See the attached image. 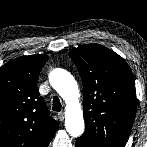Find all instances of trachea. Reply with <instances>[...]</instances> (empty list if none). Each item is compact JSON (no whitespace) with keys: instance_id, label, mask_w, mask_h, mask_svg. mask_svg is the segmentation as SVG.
I'll list each match as a JSON object with an SVG mask.
<instances>
[{"instance_id":"trachea-1","label":"trachea","mask_w":147,"mask_h":147,"mask_svg":"<svg viewBox=\"0 0 147 147\" xmlns=\"http://www.w3.org/2000/svg\"><path fill=\"white\" fill-rule=\"evenodd\" d=\"M53 111L59 112L61 110V102L57 96L53 97Z\"/></svg>"}]
</instances>
